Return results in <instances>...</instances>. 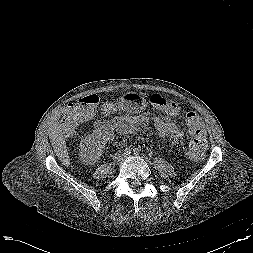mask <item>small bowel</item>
I'll return each instance as SVG.
<instances>
[{"label": "small bowel", "mask_w": 253, "mask_h": 253, "mask_svg": "<svg viewBox=\"0 0 253 253\" xmlns=\"http://www.w3.org/2000/svg\"><path fill=\"white\" fill-rule=\"evenodd\" d=\"M121 122L124 124L130 125L132 129L134 130L135 125L138 123V120L133 117L123 116L121 118ZM154 123L160 135L163 138H170L172 142H178L179 139L182 137V133L179 131L175 123L171 121L163 120V119H158V118L154 120Z\"/></svg>", "instance_id": "c3829d8e"}]
</instances>
